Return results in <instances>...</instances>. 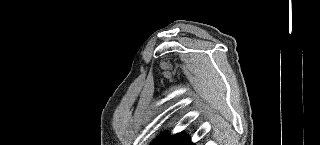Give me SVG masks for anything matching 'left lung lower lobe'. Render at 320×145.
<instances>
[{"label": "left lung lower lobe", "instance_id": "obj_1", "mask_svg": "<svg viewBox=\"0 0 320 145\" xmlns=\"http://www.w3.org/2000/svg\"><path fill=\"white\" fill-rule=\"evenodd\" d=\"M180 145H195L194 143H192L189 139V137H186Z\"/></svg>", "mask_w": 320, "mask_h": 145}]
</instances>
